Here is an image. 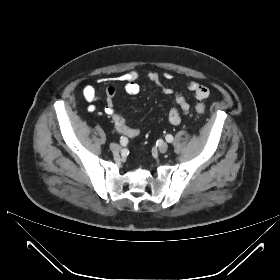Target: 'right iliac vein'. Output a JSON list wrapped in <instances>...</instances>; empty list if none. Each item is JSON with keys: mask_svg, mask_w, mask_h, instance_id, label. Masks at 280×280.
<instances>
[{"mask_svg": "<svg viewBox=\"0 0 280 280\" xmlns=\"http://www.w3.org/2000/svg\"><path fill=\"white\" fill-rule=\"evenodd\" d=\"M110 150L112 151V152H118L119 150H120V146L118 145V144H116V143H112V144H110Z\"/></svg>", "mask_w": 280, "mask_h": 280, "instance_id": "63e3f726", "label": "right iliac vein"}]
</instances>
